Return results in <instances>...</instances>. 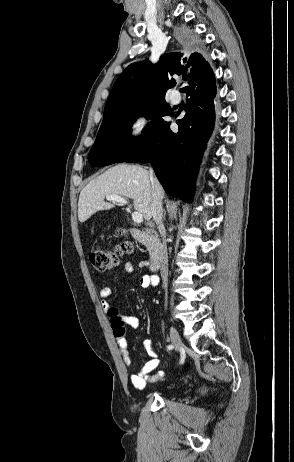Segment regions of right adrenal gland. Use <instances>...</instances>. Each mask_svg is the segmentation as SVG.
Segmentation results:
<instances>
[{
    "label": "right adrenal gland",
    "mask_w": 294,
    "mask_h": 462,
    "mask_svg": "<svg viewBox=\"0 0 294 462\" xmlns=\"http://www.w3.org/2000/svg\"><path fill=\"white\" fill-rule=\"evenodd\" d=\"M165 216H166V211H165V209H164V215H163L164 220H165Z\"/></svg>",
    "instance_id": "obj_1"
}]
</instances>
